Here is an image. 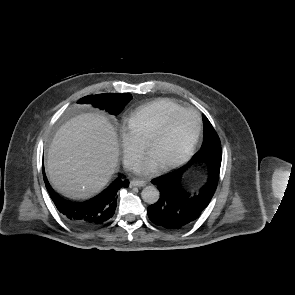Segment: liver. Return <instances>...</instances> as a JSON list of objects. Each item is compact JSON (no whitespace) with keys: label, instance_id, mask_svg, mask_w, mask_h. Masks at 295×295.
Segmentation results:
<instances>
[{"label":"liver","instance_id":"6515ba94","mask_svg":"<svg viewBox=\"0 0 295 295\" xmlns=\"http://www.w3.org/2000/svg\"><path fill=\"white\" fill-rule=\"evenodd\" d=\"M116 132L108 119L86 113L66 122L55 134L47 156L53 186L74 199L98 193L118 163Z\"/></svg>","mask_w":295,"mask_h":295}]
</instances>
